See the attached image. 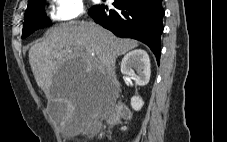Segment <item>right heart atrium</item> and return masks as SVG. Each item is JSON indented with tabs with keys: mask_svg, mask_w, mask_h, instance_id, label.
<instances>
[{
	"mask_svg": "<svg viewBox=\"0 0 227 142\" xmlns=\"http://www.w3.org/2000/svg\"><path fill=\"white\" fill-rule=\"evenodd\" d=\"M84 0H52L51 17L59 22L81 18L85 14Z\"/></svg>",
	"mask_w": 227,
	"mask_h": 142,
	"instance_id": "right-heart-atrium-1",
	"label": "right heart atrium"
}]
</instances>
